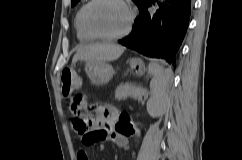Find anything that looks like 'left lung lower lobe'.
Returning a JSON list of instances; mask_svg holds the SVG:
<instances>
[{
    "instance_id": "left-lung-lower-lobe-1",
    "label": "left lung lower lobe",
    "mask_w": 242,
    "mask_h": 160,
    "mask_svg": "<svg viewBox=\"0 0 242 160\" xmlns=\"http://www.w3.org/2000/svg\"><path fill=\"white\" fill-rule=\"evenodd\" d=\"M191 5L192 0H145L132 32L118 42L174 65L189 24Z\"/></svg>"
}]
</instances>
